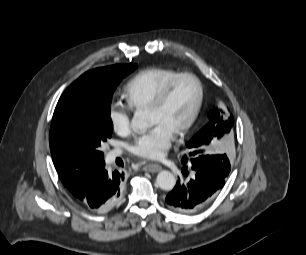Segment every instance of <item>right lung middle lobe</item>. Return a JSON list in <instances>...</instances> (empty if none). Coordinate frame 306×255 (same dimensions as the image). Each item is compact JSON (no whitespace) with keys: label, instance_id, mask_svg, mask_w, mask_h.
I'll list each match as a JSON object with an SVG mask.
<instances>
[{"label":"right lung middle lobe","instance_id":"1","mask_svg":"<svg viewBox=\"0 0 306 255\" xmlns=\"http://www.w3.org/2000/svg\"><path fill=\"white\" fill-rule=\"evenodd\" d=\"M136 68V64L114 65L108 80L72 83L60 97L52 118L49 143L63 184L74 185L89 168L104 165L101 146L113 131L112 95L121 79Z\"/></svg>","mask_w":306,"mask_h":255}]
</instances>
